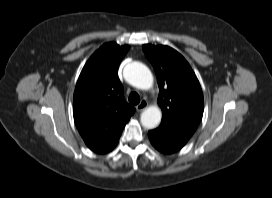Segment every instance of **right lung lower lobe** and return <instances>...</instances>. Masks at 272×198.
Returning a JSON list of instances; mask_svg holds the SVG:
<instances>
[{
    "mask_svg": "<svg viewBox=\"0 0 272 198\" xmlns=\"http://www.w3.org/2000/svg\"><path fill=\"white\" fill-rule=\"evenodd\" d=\"M123 128L124 127H122L116 134H114L112 136V138L108 142H106L103 146H101L93 151H95L97 153H101V154L111 151L117 145Z\"/></svg>",
    "mask_w": 272,
    "mask_h": 198,
    "instance_id": "obj_1",
    "label": "right lung lower lobe"
}]
</instances>
